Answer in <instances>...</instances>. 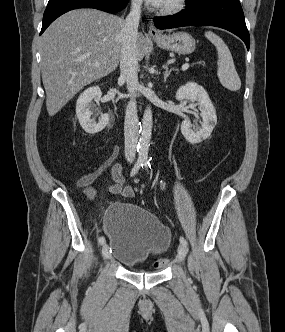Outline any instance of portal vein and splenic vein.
I'll list each match as a JSON object with an SVG mask.
<instances>
[{
    "label": "portal vein and splenic vein",
    "mask_w": 285,
    "mask_h": 332,
    "mask_svg": "<svg viewBox=\"0 0 285 332\" xmlns=\"http://www.w3.org/2000/svg\"><path fill=\"white\" fill-rule=\"evenodd\" d=\"M96 67L99 66V64H95ZM189 68V64L188 63H185L184 65H182V70L185 71Z\"/></svg>",
    "instance_id": "1"
}]
</instances>
